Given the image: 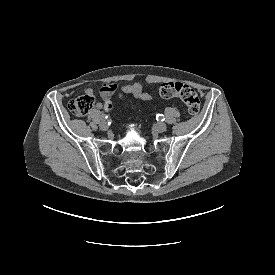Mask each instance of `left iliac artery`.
Returning <instances> with one entry per match:
<instances>
[{
    "mask_svg": "<svg viewBox=\"0 0 275 275\" xmlns=\"http://www.w3.org/2000/svg\"><path fill=\"white\" fill-rule=\"evenodd\" d=\"M157 118L160 120V121H164L165 120V117L163 114H157Z\"/></svg>",
    "mask_w": 275,
    "mask_h": 275,
    "instance_id": "left-iliac-artery-1",
    "label": "left iliac artery"
}]
</instances>
